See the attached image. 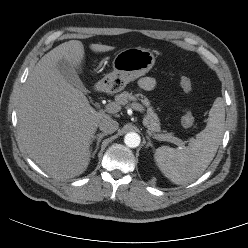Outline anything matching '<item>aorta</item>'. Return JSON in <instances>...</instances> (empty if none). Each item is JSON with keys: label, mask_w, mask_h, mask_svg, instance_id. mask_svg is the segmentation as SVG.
Segmentation results:
<instances>
[{"label": "aorta", "mask_w": 248, "mask_h": 248, "mask_svg": "<svg viewBox=\"0 0 248 248\" xmlns=\"http://www.w3.org/2000/svg\"><path fill=\"white\" fill-rule=\"evenodd\" d=\"M141 138L135 132H129L125 135L124 143L130 148H136L140 145Z\"/></svg>", "instance_id": "aorta-1"}]
</instances>
